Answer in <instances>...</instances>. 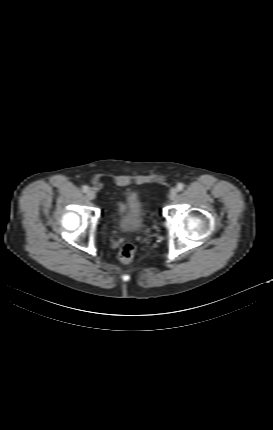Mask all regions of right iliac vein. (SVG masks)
<instances>
[{"mask_svg":"<svg viewBox=\"0 0 273 430\" xmlns=\"http://www.w3.org/2000/svg\"><path fill=\"white\" fill-rule=\"evenodd\" d=\"M86 195H87V198L89 200H93L96 197V194H95V192L93 190H88V192H87Z\"/></svg>","mask_w":273,"mask_h":430,"instance_id":"63e3f726","label":"right iliac vein"}]
</instances>
